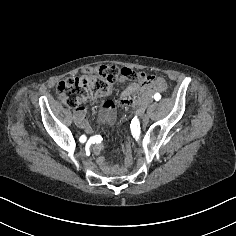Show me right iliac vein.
Instances as JSON below:
<instances>
[{
	"label": "right iliac vein",
	"mask_w": 236,
	"mask_h": 236,
	"mask_svg": "<svg viewBox=\"0 0 236 236\" xmlns=\"http://www.w3.org/2000/svg\"><path fill=\"white\" fill-rule=\"evenodd\" d=\"M83 130H84L85 132L87 131L88 133H91V132H92V129H91V128H88V129H87V128L85 127Z\"/></svg>",
	"instance_id": "obj_1"
}]
</instances>
